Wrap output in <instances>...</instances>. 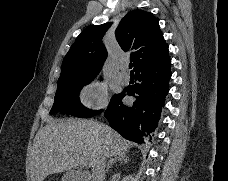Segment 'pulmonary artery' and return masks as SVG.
Instances as JSON below:
<instances>
[{
  "label": "pulmonary artery",
  "instance_id": "pulmonary-artery-1",
  "mask_svg": "<svg viewBox=\"0 0 228 181\" xmlns=\"http://www.w3.org/2000/svg\"><path fill=\"white\" fill-rule=\"evenodd\" d=\"M119 78L123 81H126L127 80V75L126 74H120L119 75Z\"/></svg>",
  "mask_w": 228,
  "mask_h": 181
}]
</instances>
